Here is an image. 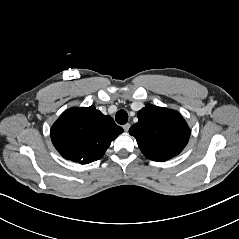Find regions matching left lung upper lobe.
<instances>
[{
  "mask_svg": "<svg viewBox=\"0 0 239 239\" xmlns=\"http://www.w3.org/2000/svg\"><path fill=\"white\" fill-rule=\"evenodd\" d=\"M138 122L130 129L142 153L154 161H166L186 146L190 129L175 110L148 104L138 112Z\"/></svg>",
  "mask_w": 239,
  "mask_h": 239,
  "instance_id": "left-lung-upper-lobe-1",
  "label": "left lung upper lobe"
}]
</instances>
